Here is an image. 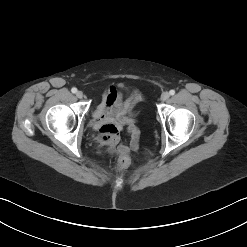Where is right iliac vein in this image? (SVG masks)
I'll use <instances>...</instances> for the list:
<instances>
[{"label": "right iliac vein", "instance_id": "obj_1", "mask_svg": "<svg viewBox=\"0 0 247 247\" xmlns=\"http://www.w3.org/2000/svg\"><path fill=\"white\" fill-rule=\"evenodd\" d=\"M76 96L78 97V98H83V92L82 91H77L76 92Z\"/></svg>", "mask_w": 247, "mask_h": 247}]
</instances>
